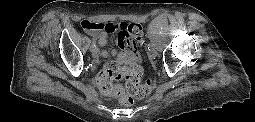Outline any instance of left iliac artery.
Wrapping results in <instances>:
<instances>
[{
  "instance_id": "1",
  "label": "left iliac artery",
  "mask_w": 255,
  "mask_h": 122,
  "mask_svg": "<svg viewBox=\"0 0 255 122\" xmlns=\"http://www.w3.org/2000/svg\"><path fill=\"white\" fill-rule=\"evenodd\" d=\"M147 48H148V50H154V45L151 44V43H149V44L147 45Z\"/></svg>"
}]
</instances>
